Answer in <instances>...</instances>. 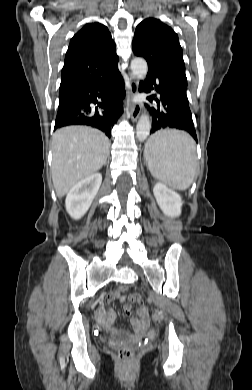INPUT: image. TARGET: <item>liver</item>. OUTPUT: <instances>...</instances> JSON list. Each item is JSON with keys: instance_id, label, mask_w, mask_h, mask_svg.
Returning <instances> with one entry per match:
<instances>
[{"instance_id": "6515ba94", "label": "liver", "mask_w": 252, "mask_h": 390, "mask_svg": "<svg viewBox=\"0 0 252 390\" xmlns=\"http://www.w3.org/2000/svg\"><path fill=\"white\" fill-rule=\"evenodd\" d=\"M110 141L101 131L87 126L57 130L52 139V180L61 198L84 178L105 164Z\"/></svg>"}]
</instances>
